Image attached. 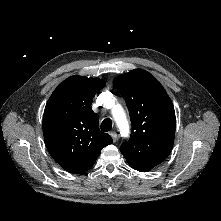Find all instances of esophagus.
I'll return each mask as SVG.
<instances>
[{
  "label": "esophagus",
  "mask_w": 221,
  "mask_h": 221,
  "mask_svg": "<svg viewBox=\"0 0 221 221\" xmlns=\"http://www.w3.org/2000/svg\"><path fill=\"white\" fill-rule=\"evenodd\" d=\"M110 135H111L113 141L116 142V141H117V138H118V137H117V133H116L115 131H111V132H110Z\"/></svg>",
  "instance_id": "obj_1"
}]
</instances>
